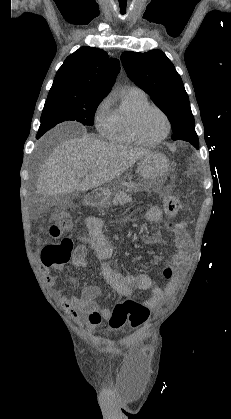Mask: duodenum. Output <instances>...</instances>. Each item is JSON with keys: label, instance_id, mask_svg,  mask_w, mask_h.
Instances as JSON below:
<instances>
[{"label": "duodenum", "instance_id": "1", "mask_svg": "<svg viewBox=\"0 0 231 419\" xmlns=\"http://www.w3.org/2000/svg\"><path fill=\"white\" fill-rule=\"evenodd\" d=\"M99 200V196L97 194L91 193L87 196V203L89 205H95Z\"/></svg>", "mask_w": 231, "mask_h": 419}]
</instances>
